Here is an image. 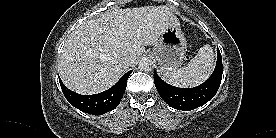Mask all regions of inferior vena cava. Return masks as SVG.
Returning a JSON list of instances; mask_svg holds the SVG:
<instances>
[{"label":"inferior vena cava","mask_w":276,"mask_h":138,"mask_svg":"<svg viewBox=\"0 0 276 138\" xmlns=\"http://www.w3.org/2000/svg\"><path fill=\"white\" fill-rule=\"evenodd\" d=\"M120 60H121V63L126 66H130L134 62L132 57L129 55L123 56Z\"/></svg>","instance_id":"obj_1"}]
</instances>
